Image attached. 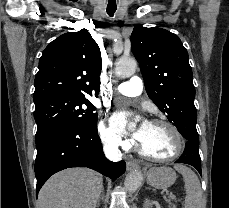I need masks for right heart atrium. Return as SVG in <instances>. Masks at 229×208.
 <instances>
[{"label": "right heart atrium", "instance_id": "d8ad5b80", "mask_svg": "<svg viewBox=\"0 0 229 208\" xmlns=\"http://www.w3.org/2000/svg\"><path fill=\"white\" fill-rule=\"evenodd\" d=\"M99 137L102 144L108 148L129 150L133 146L132 141L123 139L120 134L107 126L103 120L99 123Z\"/></svg>", "mask_w": 229, "mask_h": 208}]
</instances>
